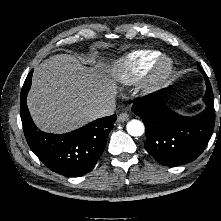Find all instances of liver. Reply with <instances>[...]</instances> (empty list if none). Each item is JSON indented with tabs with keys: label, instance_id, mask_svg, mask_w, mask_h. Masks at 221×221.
<instances>
[{
	"label": "liver",
	"instance_id": "liver-1",
	"mask_svg": "<svg viewBox=\"0 0 221 221\" xmlns=\"http://www.w3.org/2000/svg\"><path fill=\"white\" fill-rule=\"evenodd\" d=\"M115 96V87L95 68L57 54L34 69L27 105L41 130L64 133L94 120L93 110Z\"/></svg>",
	"mask_w": 221,
	"mask_h": 221
}]
</instances>
